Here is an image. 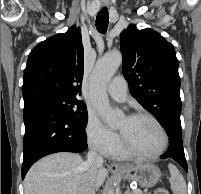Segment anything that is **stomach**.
<instances>
[{
    "mask_svg": "<svg viewBox=\"0 0 201 194\" xmlns=\"http://www.w3.org/2000/svg\"><path fill=\"white\" fill-rule=\"evenodd\" d=\"M119 175L128 180L135 181L142 187H153L160 178V170L150 163L129 164L121 167Z\"/></svg>",
    "mask_w": 201,
    "mask_h": 194,
    "instance_id": "stomach-1",
    "label": "stomach"
}]
</instances>
